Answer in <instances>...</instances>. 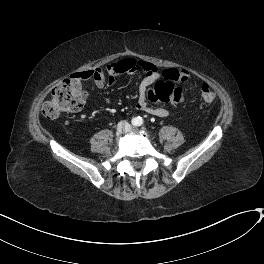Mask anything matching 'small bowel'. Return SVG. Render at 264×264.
Returning a JSON list of instances; mask_svg holds the SVG:
<instances>
[{
  "instance_id": "small-bowel-1",
  "label": "small bowel",
  "mask_w": 264,
  "mask_h": 264,
  "mask_svg": "<svg viewBox=\"0 0 264 264\" xmlns=\"http://www.w3.org/2000/svg\"><path fill=\"white\" fill-rule=\"evenodd\" d=\"M138 71L145 72V76L139 85L137 108L152 116H168L169 110L167 108L155 106L152 103L150 89L159 79L163 78V72H160L156 67L149 63L127 58L108 64L106 67V73L100 69H93L74 73L72 78L79 79L80 81L93 80L97 87L103 88L106 85L115 83L120 74ZM183 74L186 75L185 71H183ZM114 99V96H106L103 98V101L111 103Z\"/></svg>"
}]
</instances>
